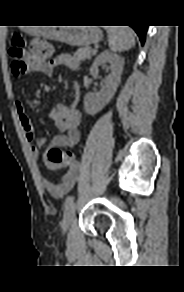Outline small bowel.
I'll return each mask as SVG.
<instances>
[{
	"mask_svg": "<svg viewBox=\"0 0 184 292\" xmlns=\"http://www.w3.org/2000/svg\"><path fill=\"white\" fill-rule=\"evenodd\" d=\"M79 66V61L72 55L61 53L56 55L49 61H44L32 65L30 68L33 72H39L46 76H51L57 67H65L68 69H76ZM79 99V86H73V101L70 105L58 104L50 112V117L56 127L62 134L54 137L52 147H75L80 141V122L81 114L76 108ZM15 108L19 117L20 124L23 128L26 139L30 143V149L34 156L39 155L40 146L43 140L36 137L34 127L30 118L26 114L23 101L20 99L15 101ZM44 165L51 170H59L66 168V172L62 179L54 183L48 178L42 180L43 186L46 191L54 198H62L65 196L75 185L78 174L79 164L74 163L70 165H57L52 163L47 155L43 158Z\"/></svg>",
	"mask_w": 184,
	"mask_h": 292,
	"instance_id": "c3829d8e",
	"label": "small bowel"
}]
</instances>
